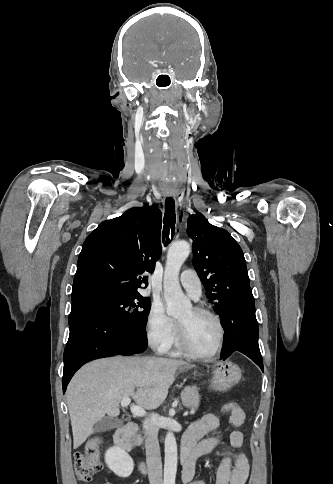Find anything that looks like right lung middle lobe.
Instances as JSON below:
<instances>
[{"mask_svg": "<svg viewBox=\"0 0 333 484\" xmlns=\"http://www.w3.org/2000/svg\"><path fill=\"white\" fill-rule=\"evenodd\" d=\"M100 303L132 331L146 334V322L151 302L140 294H118L110 291H96L85 295Z\"/></svg>", "mask_w": 333, "mask_h": 484, "instance_id": "1", "label": "right lung middle lobe"}]
</instances>
